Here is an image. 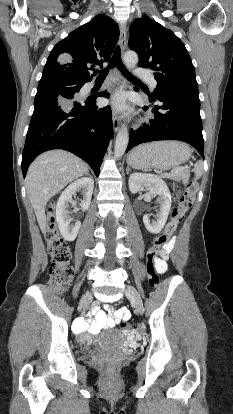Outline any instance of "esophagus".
I'll return each mask as SVG.
<instances>
[{"instance_id": "obj_1", "label": "esophagus", "mask_w": 233, "mask_h": 414, "mask_svg": "<svg viewBox=\"0 0 233 414\" xmlns=\"http://www.w3.org/2000/svg\"><path fill=\"white\" fill-rule=\"evenodd\" d=\"M127 31H126V25L123 23L120 26V51L121 54L124 53L126 46H127ZM123 82V79L121 75H119L114 83V88H118ZM112 122H113V128L114 131L117 132L120 128V117L117 114L116 110L113 111L112 116Z\"/></svg>"}]
</instances>
